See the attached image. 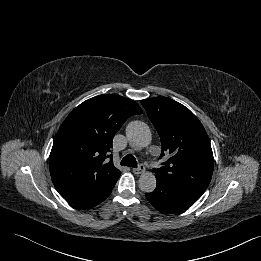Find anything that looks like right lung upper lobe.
<instances>
[{"instance_id": "right-lung-upper-lobe-1", "label": "right lung upper lobe", "mask_w": 261, "mask_h": 261, "mask_svg": "<svg viewBox=\"0 0 261 261\" xmlns=\"http://www.w3.org/2000/svg\"><path fill=\"white\" fill-rule=\"evenodd\" d=\"M139 114L135 101L106 94L86 100L68 115L49 157L52 182L65 200H87L118 180L120 171L110 155L113 137L130 116Z\"/></svg>"}]
</instances>
